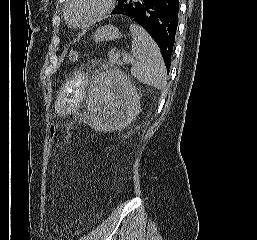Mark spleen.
Wrapping results in <instances>:
<instances>
[{
    "label": "spleen",
    "mask_w": 257,
    "mask_h": 240,
    "mask_svg": "<svg viewBox=\"0 0 257 240\" xmlns=\"http://www.w3.org/2000/svg\"><path fill=\"white\" fill-rule=\"evenodd\" d=\"M130 31L133 37L132 54L136 58L131 68V74L144 84L163 89L166 86L167 78L160 49L142 27L132 24Z\"/></svg>",
    "instance_id": "obj_1"
}]
</instances>
